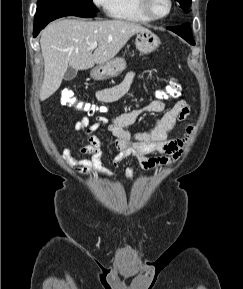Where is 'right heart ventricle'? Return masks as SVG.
<instances>
[{
	"label": "right heart ventricle",
	"instance_id": "1",
	"mask_svg": "<svg viewBox=\"0 0 243 289\" xmlns=\"http://www.w3.org/2000/svg\"><path fill=\"white\" fill-rule=\"evenodd\" d=\"M108 13L119 20L138 23L152 21L140 10L138 0H112Z\"/></svg>",
	"mask_w": 243,
	"mask_h": 289
}]
</instances>
